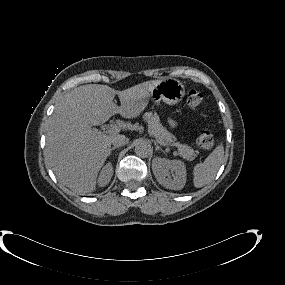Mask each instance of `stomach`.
I'll return each instance as SVG.
<instances>
[{
    "label": "stomach",
    "instance_id": "obj_1",
    "mask_svg": "<svg viewBox=\"0 0 285 285\" xmlns=\"http://www.w3.org/2000/svg\"><path fill=\"white\" fill-rule=\"evenodd\" d=\"M185 95L183 84L175 79L168 78L161 80L151 91L150 99L154 102L162 100L168 105L180 103Z\"/></svg>",
    "mask_w": 285,
    "mask_h": 285
}]
</instances>
